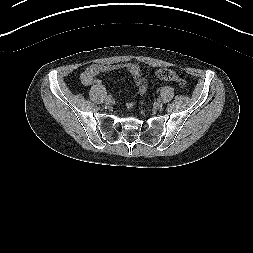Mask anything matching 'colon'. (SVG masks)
Here are the masks:
<instances>
[{
    "label": "colon",
    "mask_w": 253,
    "mask_h": 253,
    "mask_svg": "<svg viewBox=\"0 0 253 253\" xmlns=\"http://www.w3.org/2000/svg\"><path fill=\"white\" fill-rule=\"evenodd\" d=\"M156 75L162 80L174 81L178 83L179 86L181 87H185L187 83L183 77L179 76L178 74H176L174 71L170 69H160L156 71ZM136 85H137V89H136V92L134 93L133 98L140 97L145 92V83L141 78L136 80Z\"/></svg>",
    "instance_id": "1"
}]
</instances>
